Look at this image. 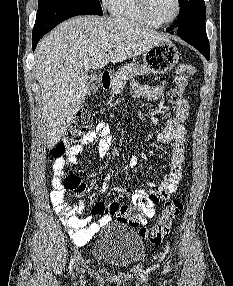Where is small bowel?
Returning a JSON list of instances; mask_svg holds the SVG:
<instances>
[{
    "mask_svg": "<svg viewBox=\"0 0 233 286\" xmlns=\"http://www.w3.org/2000/svg\"><path fill=\"white\" fill-rule=\"evenodd\" d=\"M165 85L143 86L134 83L132 85V93L135 97L154 101L162 96ZM188 115L189 103L187 99H183L178 103L174 114L166 117L165 127L157 133L156 138L159 142L163 144L172 143L173 145L170 156V170L164 179L159 184L149 182L147 189L132 190L115 187L114 191L124 192L131 196L132 205H120L118 203L105 205L102 202H98L92 208V214L100 216L96 222H92L91 216H79L86 207L84 202L70 204L65 201V188L62 185L61 177L57 170L63 172L65 166L76 165L78 162L77 156L82 152L83 147L93 143L96 139H99L97 146L99 155L101 157L107 156L114 143L109 126L103 122L96 124L78 139L77 144L71 148L65 159H61L53 166L54 176L52 178L50 200L74 244L79 246L86 244L101 227L110 223L114 218L123 223L130 224L128 212L133 205L140 208L142 220L154 216L156 204L176 191L178 182L182 177L186 140L184 122L188 118ZM139 155L142 154L134 153L131 156L130 164L132 166L137 164ZM101 189L105 191L107 189L106 184H101Z\"/></svg>",
    "mask_w": 233,
    "mask_h": 286,
    "instance_id": "obj_1",
    "label": "small bowel"
}]
</instances>
